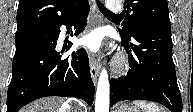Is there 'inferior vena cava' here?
I'll list each match as a JSON object with an SVG mask.
<instances>
[{
    "mask_svg": "<svg viewBox=\"0 0 193 112\" xmlns=\"http://www.w3.org/2000/svg\"><path fill=\"white\" fill-rule=\"evenodd\" d=\"M77 106H79L80 107V105H77ZM73 111V110H72ZM74 112H82V110H74Z\"/></svg>",
    "mask_w": 193,
    "mask_h": 112,
    "instance_id": "602c4592",
    "label": "inferior vena cava"
}]
</instances>
